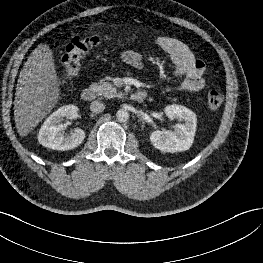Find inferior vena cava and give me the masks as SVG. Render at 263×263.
I'll return each mask as SVG.
<instances>
[{
    "label": "inferior vena cava",
    "mask_w": 263,
    "mask_h": 263,
    "mask_svg": "<svg viewBox=\"0 0 263 263\" xmlns=\"http://www.w3.org/2000/svg\"><path fill=\"white\" fill-rule=\"evenodd\" d=\"M105 109V104L101 101H93L90 105V110L93 113H100Z\"/></svg>",
    "instance_id": "obj_1"
}]
</instances>
